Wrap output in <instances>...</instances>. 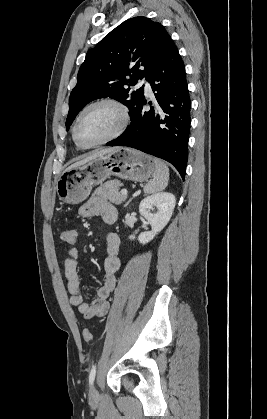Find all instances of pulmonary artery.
<instances>
[{
	"label": "pulmonary artery",
	"mask_w": 267,
	"mask_h": 419,
	"mask_svg": "<svg viewBox=\"0 0 267 419\" xmlns=\"http://www.w3.org/2000/svg\"><path fill=\"white\" fill-rule=\"evenodd\" d=\"M138 86H144L145 92L148 95L152 94V89L150 83L146 79H142L139 81Z\"/></svg>",
	"instance_id": "obj_1"
}]
</instances>
